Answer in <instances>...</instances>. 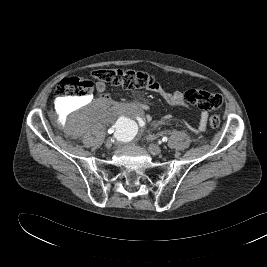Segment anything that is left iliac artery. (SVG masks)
<instances>
[{"mask_svg": "<svg viewBox=\"0 0 267 267\" xmlns=\"http://www.w3.org/2000/svg\"><path fill=\"white\" fill-rule=\"evenodd\" d=\"M161 141H162V142H167V141H168V137H166V136L163 137V138L161 139Z\"/></svg>", "mask_w": 267, "mask_h": 267, "instance_id": "obj_1", "label": "left iliac artery"}]
</instances>
